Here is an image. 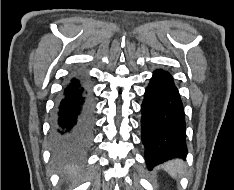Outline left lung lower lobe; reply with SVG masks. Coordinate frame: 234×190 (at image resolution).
Masks as SVG:
<instances>
[{
	"mask_svg": "<svg viewBox=\"0 0 234 190\" xmlns=\"http://www.w3.org/2000/svg\"><path fill=\"white\" fill-rule=\"evenodd\" d=\"M141 135L149 169L173 158H185L186 124L183 104L172 76L156 70L141 107Z\"/></svg>",
	"mask_w": 234,
	"mask_h": 190,
	"instance_id": "1",
	"label": "left lung lower lobe"
}]
</instances>
